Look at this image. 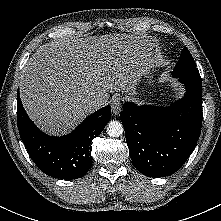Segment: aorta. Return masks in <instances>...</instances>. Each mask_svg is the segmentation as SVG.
Instances as JSON below:
<instances>
[{"instance_id": "1", "label": "aorta", "mask_w": 221, "mask_h": 221, "mask_svg": "<svg viewBox=\"0 0 221 221\" xmlns=\"http://www.w3.org/2000/svg\"><path fill=\"white\" fill-rule=\"evenodd\" d=\"M107 134L110 137H119L123 134V125L119 121H110L106 128Z\"/></svg>"}]
</instances>
